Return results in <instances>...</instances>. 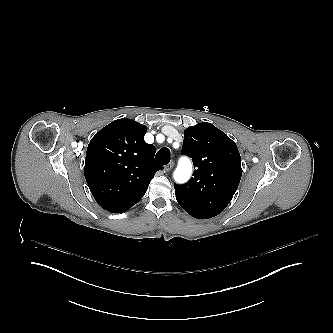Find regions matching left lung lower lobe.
Instances as JSON below:
<instances>
[{"mask_svg":"<svg viewBox=\"0 0 333 333\" xmlns=\"http://www.w3.org/2000/svg\"><path fill=\"white\" fill-rule=\"evenodd\" d=\"M180 206L187 211L191 216L198 218V219H207L218 215L219 213L208 211L200 208H196L181 202H178Z\"/></svg>","mask_w":333,"mask_h":333,"instance_id":"obj_1","label":"left lung lower lobe"}]
</instances>
